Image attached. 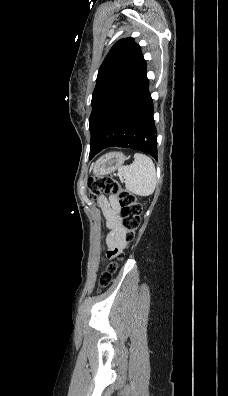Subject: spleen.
<instances>
[{
  "label": "spleen",
  "instance_id": "3e777b00",
  "mask_svg": "<svg viewBox=\"0 0 228 396\" xmlns=\"http://www.w3.org/2000/svg\"><path fill=\"white\" fill-rule=\"evenodd\" d=\"M118 174L125 180L127 190L139 196H148L157 184L156 169L153 161L146 155L136 153L134 162L118 168Z\"/></svg>",
  "mask_w": 228,
  "mask_h": 396
}]
</instances>
